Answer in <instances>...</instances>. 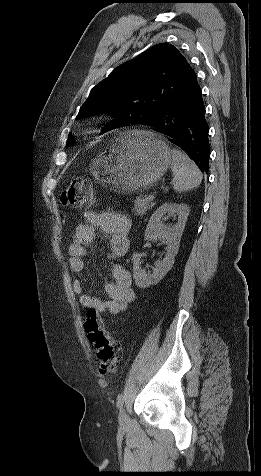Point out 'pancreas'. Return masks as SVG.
<instances>
[{"label":"pancreas","mask_w":261,"mask_h":476,"mask_svg":"<svg viewBox=\"0 0 261 476\" xmlns=\"http://www.w3.org/2000/svg\"><path fill=\"white\" fill-rule=\"evenodd\" d=\"M154 202L149 200L148 198H137L135 200L133 212L135 215L144 216L146 212L154 206Z\"/></svg>","instance_id":"pancreas-1"}]
</instances>
